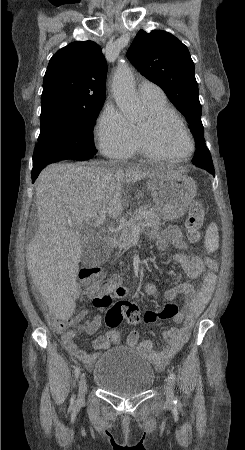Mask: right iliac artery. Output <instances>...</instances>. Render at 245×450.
Instances as JSON below:
<instances>
[{
  "mask_svg": "<svg viewBox=\"0 0 245 450\" xmlns=\"http://www.w3.org/2000/svg\"><path fill=\"white\" fill-rule=\"evenodd\" d=\"M80 367H77L76 369H75V377L76 378H78L79 377V375H80ZM74 404H75V398H74V396L71 398V408H73L74 407Z\"/></svg>",
  "mask_w": 245,
  "mask_h": 450,
  "instance_id": "82829eb1",
  "label": "right iliac artery"
}]
</instances>
